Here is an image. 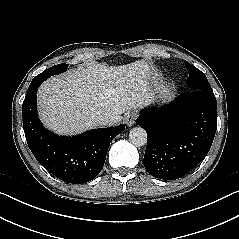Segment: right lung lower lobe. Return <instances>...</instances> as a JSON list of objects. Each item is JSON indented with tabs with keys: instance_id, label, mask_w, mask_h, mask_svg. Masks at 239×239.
<instances>
[{
	"instance_id": "1",
	"label": "right lung lower lobe",
	"mask_w": 239,
	"mask_h": 239,
	"mask_svg": "<svg viewBox=\"0 0 239 239\" xmlns=\"http://www.w3.org/2000/svg\"><path fill=\"white\" fill-rule=\"evenodd\" d=\"M45 77L33 78L22 105L23 128L30 150L37 161L59 179L82 184L102 170L111 141L124 125L92 129L74 137L57 136L41 124L36 108V93Z\"/></svg>"
}]
</instances>
